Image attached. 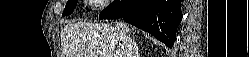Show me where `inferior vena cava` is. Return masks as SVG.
I'll use <instances>...</instances> for the list:
<instances>
[{
    "label": "inferior vena cava",
    "mask_w": 249,
    "mask_h": 57,
    "mask_svg": "<svg viewBox=\"0 0 249 57\" xmlns=\"http://www.w3.org/2000/svg\"><path fill=\"white\" fill-rule=\"evenodd\" d=\"M121 47L123 49V57H137L135 48L129 36L125 34L120 35Z\"/></svg>",
    "instance_id": "inferior-vena-cava-1"
}]
</instances>
